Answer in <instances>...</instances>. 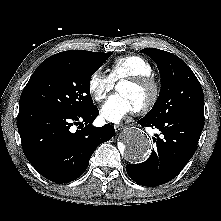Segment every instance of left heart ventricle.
<instances>
[{
    "instance_id": "left-heart-ventricle-1",
    "label": "left heart ventricle",
    "mask_w": 221,
    "mask_h": 221,
    "mask_svg": "<svg viewBox=\"0 0 221 221\" xmlns=\"http://www.w3.org/2000/svg\"><path fill=\"white\" fill-rule=\"evenodd\" d=\"M117 91L127 96L135 108L143 105L151 95L149 87L134 86L128 83H120Z\"/></svg>"
}]
</instances>
